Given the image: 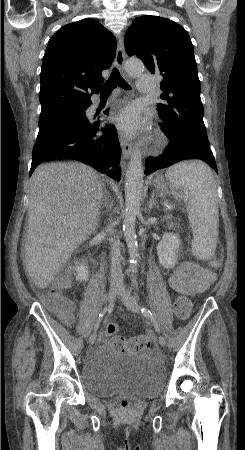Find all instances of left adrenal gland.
I'll list each match as a JSON object with an SVG mask.
<instances>
[{
  "label": "left adrenal gland",
  "instance_id": "1",
  "mask_svg": "<svg viewBox=\"0 0 245 450\" xmlns=\"http://www.w3.org/2000/svg\"><path fill=\"white\" fill-rule=\"evenodd\" d=\"M156 204H157V202H156V199H155V194H154V192H152L151 198H150V201H149V209H152L153 207H156Z\"/></svg>",
  "mask_w": 245,
  "mask_h": 450
}]
</instances>
